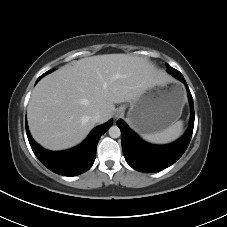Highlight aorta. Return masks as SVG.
Instances as JSON below:
<instances>
[{"label":"aorta","instance_id":"762f6f07","mask_svg":"<svg viewBox=\"0 0 227 227\" xmlns=\"http://www.w3.org/2000/svg\"><path fill=\"white\" fill-rule=\"evenodd\" d=\"M121 135V131L117 126H111L109 128V136L111 138H118Z\"/></svg>","mask_w":227,"mask_h":227}]
</instances>
